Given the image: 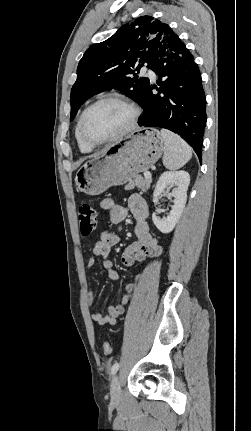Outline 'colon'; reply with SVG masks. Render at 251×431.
I'll list each match as a JSON object with an SVG mask.
<instances>
[{"label": "colon", "instance_id": "5ec220e1", "mask_svg": "<svg viewBox=\"0 0 251 431\" xmlns=\"http://www.w3.org/2000/svg\"><path fill=\"white\" fill-rule=\"evenodd\" d=\"M78 219L82 237H89L96 227V212L94 208L89 203L82 202L78 208ZM103 353L105 355L112 353V347L109 342L103 343Z\"/></svg>", "mask_w": 251, "mask_h": 431}]
</instances>
